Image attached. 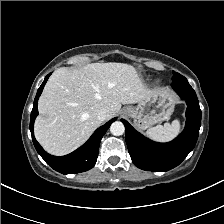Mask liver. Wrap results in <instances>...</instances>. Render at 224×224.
Here are the masks:
<instances>
[{
	"label": "liver",
	"mask_w": 224,
	"mask_h": 224,
	"mask_svg": "<svg viewBox=\"0 0 224 224\" xmlns=\"http://www.w3.org/2000/svg\"><path fill=\"white\" fill-rule=\"evenodd\" d=\"M157 90L147 88L137 70L125 63H92L80 69L61 67L49 78L38 102L37 141L50 154L66 155L100 126L97 114L110 119L122 104H135Z\"/></svg>",
	"instance_id": "liver-1"
}]
</instances>
